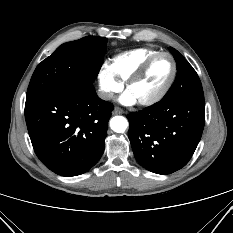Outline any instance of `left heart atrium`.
Wrapping results in <instances>:
<instances>
[{
  "label": "left heart atrium",
  "instance_id": "left-heart-atrium-1",
  "mask_svg": "<svg viewBox=\"0 0 233 233\" xmlns=\"http://www.w3.org/2000/svg\"><path fill=\"white\" fill-rule=\"evenodd\" d=\"M120 103L124 105H133L137 102L135 96L129 91L126 90L119 99Z\"/></svg>",
  "mask_w": 233,
  "mask_h": 233
}]
</instances>
